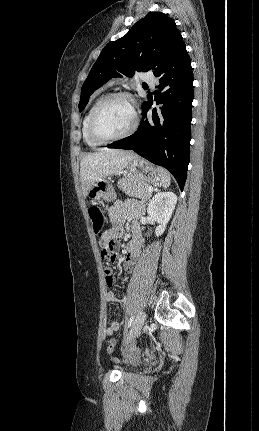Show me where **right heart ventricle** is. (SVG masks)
<instances>
[{"label":"right heart ventricle","mask_w":259,"mask_h":431,"mask_svg":"<svg viewBox=\"0 0 259 431\" xmlns=\"http://www.w3.org/2000/svg\"><path fill=\"white\" fill-rule=\"evenodd\" d=\"M103 97H99L97 98L89 107L87 113L84 116L83 122H82V135H83V139L85 141V143L91 147V148H96L98 146H100L101 144L96 143L95 141H93L90 136H89V132H88V124H89V119L91 116L92 111L94 110L95 106L98 104V102L102 99Z\"/></svg>","instance_id":"e07e8e85"}]
</instances>
